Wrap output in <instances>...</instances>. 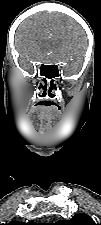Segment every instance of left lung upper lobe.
<instances>
[{"label":"left lung upper lobe","mask_w":101,"mask_h":225,"mask_svg":"<svg viewBox=\"0 0 101 225\" xmlns=\"http://www.w3.org/2000/svg\"><path fill=\"white\" fill-rule=\"evenodd\" d=\"M53 225H96L95 222L86 214L75 215L71 220H60Z\"/></svg>","instance_id":"obj_1"}]
</instances>
